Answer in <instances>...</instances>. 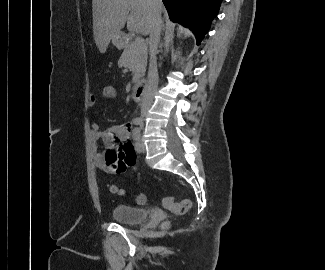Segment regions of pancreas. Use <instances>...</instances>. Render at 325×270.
I'll use <instances>...</instances> for the list:
<instances>
[{
    "mask_svg": "<svg viewBox=\"0 0 325 270\" xmlns=\"http://www.w3.org/2000/svg\"><path fill=\"white\" fill-rule=\"evenodd\" d=\"M147 45L140 46L135 41L127 45L119 59V65L127 67L133 75V83L143 77L147 64Z\"/></svg>",
    "mask_w": 325,
    "mask_h": 270,
    "instance_id": "obj_1",
    "label": "pancreas"
}]
</instances>
